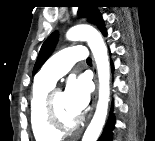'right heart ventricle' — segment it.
<instances>
[{"instance_id": "obj_1", "label": "right heart ventricle", "mask_w": 155, "mask_h": 141, "mask_svg": "<svg viewBox=\"0 0 155 141\" xmlns=\"http://www.w3.org/2000/svg\"><path fill=\"white\" fill-rule=\"evenodd\" d=\"M54 84L47 81L36 80L30 98V122L32 132L37 141H56L60 133L52 130L46 122L44 101L47 93Z\"/></svg>"}]
</instances>
